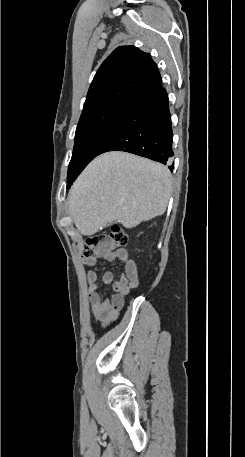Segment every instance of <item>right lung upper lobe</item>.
Segmentation results:
<instances>
[{"label": "right lung upper lobe", "mask_w": 245, "mask_h": 457, "mask_svg": "<svg viewBox=\"0 0 245 457\" xmlns=\"http://www.w3.org/2000/svg\"><path fill=\"white\" fill-rule=\"evenodd\" d=\"M161 87V76L149 54L134 46L116 48L102 63L90 85L82 114L116 107L130 109Z\"/></svg>", "instance_id": "cb5924a9"}]
</instances>
